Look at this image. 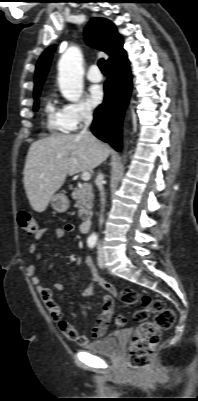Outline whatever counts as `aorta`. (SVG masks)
Here are the masks:
<instances>
[{
    "mask_svg": "<svg viewBox=\"0 0 198 401\" xmlns=\"http://www.w3.org/2000/svg\"><path fill=\"white\" fill-rule=\"evenodd\" d=\"M58 83L65 99L77 102L83 92V68L81 52L76 47H70L61 56L58 64ZM95 234L91 238H95Z\"/></svg>",
    "mask_w": 198,
    "mask_h": 401,
    "instance_id": "762f6f07",
    "label": "aorta"
}]
</instances>
